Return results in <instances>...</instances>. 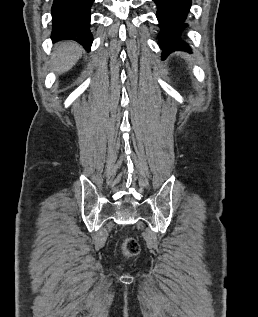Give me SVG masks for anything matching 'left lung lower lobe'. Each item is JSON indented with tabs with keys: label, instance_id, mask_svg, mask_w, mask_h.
I'll list each match as a JSON object with an SVG mask.
<instances>
[{
	"label": "left lung lower lobe",
	"instance_id": "left-lung-lower-lobe-1",
	"mask_svg": "<svg viewBox=\"0 0 258 317\" xmlns=\"http://www.w3.org/2000/svg\"><path fill=\"white\" fill-rule=\"evenodd\" d=\"M157 6L156 16L162 31L159 34L163 58L175 50L191 52L189 45L180 39V32L187 26L184 21L192 0H153Z\"/></svg>",
	"mask_w": 258,
	"mask_h": 317
}]
</instances>
